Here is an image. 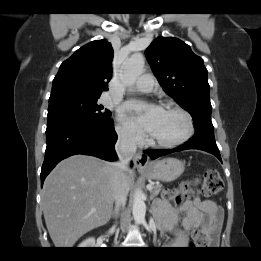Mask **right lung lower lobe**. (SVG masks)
<instances>
[{"mask_svg":"<svg viewBox=\"0 0 261 261\" xmlns=\"http://www.w3.org/2000/svg\"><path fill=\"white\" fill-rule=\"evenodd\" d=\"M47 147L41 170V185L61 160L75 154H87L115 160L117 134L113 120L62 119L47 123Z\"/></svg>","mask_w":261,"mask_h":261,"instance_id":"1","label":"right lung lower lobe"}]
</instances>
